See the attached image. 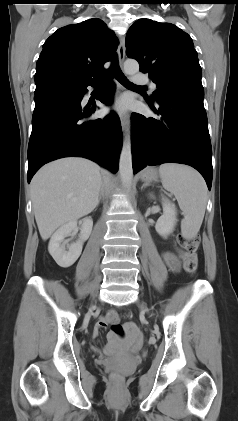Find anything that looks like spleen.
Here are the masks:
<instances>
[{"instance_id":"3e777b00","label":"spleen","mask_w":238,"mask_h":421,"mask_svg":"<svg viewBox=\"0 0 238 421\" xmlns=\"http://www.w3.org/2000/svg\"><path fill=\"white\" fill-rule=\"evenodd\" d=\"M159 173L163 187L174 194L183 211L181 229L184 236L194 237L201 227L207 204L204 179L196 170L182 164H162Z\"/></svg>"}]
</instances>
